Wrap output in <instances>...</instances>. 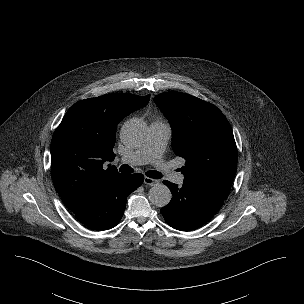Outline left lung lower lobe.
<instances>
[{
  "label": "left lung lower lobe",
  "mask_w": 304,
  "mask_h": 304,
  "mask_svg": "<svg viewBox=\"0 0 304 304\" xmlns=\"http://www.w3.org/2000/svg\"><path fill=\"white\" fill-rule=\"evenodd\" d=\"M172 192L171 202L161 209L166 223L181 230H194L209 221L220 209L224 200L186 186L163 181Z\"/></svg>",
  "instance_id": "1"
}]
</instances>
